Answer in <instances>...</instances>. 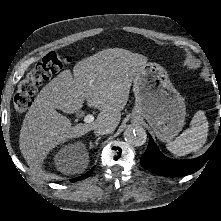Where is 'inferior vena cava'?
I'll use <instances>...</instances> for the list:
<instances>
[{
  "label": "inferior vena cava",
  "instance_id": "obj_1",
  "mask_svg": "<svg viewBox=\"0 0 221 221\" xmlns=\"http://www.w3.org/2000/svg\"><path fill=\"white\" fill-rule=\"evenodd\" d=\"M113 132V128L109 125H97L94 128V133L96 136L110 134Z\"/></svg>",
  "mask_w": 221,
  "mask_h": 221
}]
</instances>
